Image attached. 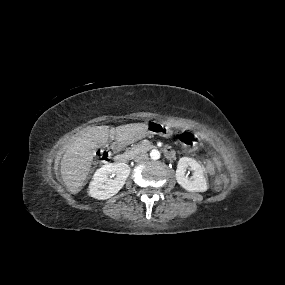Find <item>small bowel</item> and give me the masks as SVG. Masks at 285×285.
I'll return each mask as SVG.
<instances>
[{
  "label": "small bowel",
  "instance_id": "small-bowel-1",
  "mask_svg": "<svg viewBox=\"0 0 285 285\" xmlns=\"http://www.w3.org/2000/svg\"><path fill=\"white\" fill-rule=\"evenodd\" d=\"M205 171L213 175L216 171V168H221L223 166V162L217 157H205L203 160Z\"/></svg>",
  "mask_w": 285,
  "mask_h": 285
}]
</instances>
